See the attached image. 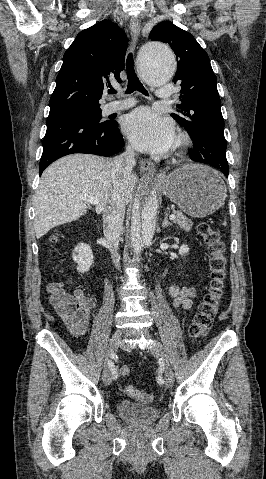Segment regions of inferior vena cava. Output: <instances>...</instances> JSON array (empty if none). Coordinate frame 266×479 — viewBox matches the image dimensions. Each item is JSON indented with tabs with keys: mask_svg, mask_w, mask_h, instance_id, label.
Instances as JSON below:
<instances>
[{
	"mask_svg": "<svg viewBox=\"0 0 266 479\" xmlns=\"http://www.w3.org/2000/svg\"><path fill=\"white\" fill-rule=\"evenodd\" d=\"M134 150L131 146L126 151L114 158L112 162L113 190L110 198L103 208V229L105 239L109 245L113 263L119 268L120 256L117 250L119 247V237L122 231L125 202L123 189L131 177V171L136 165Z\"/></svg>",
	"mask_w": 266,
	"mask_h": 479,
	"instance_id": "obj_1",
	"label": "inferior vena cava"
}]
</instances>
